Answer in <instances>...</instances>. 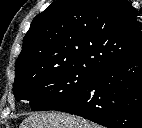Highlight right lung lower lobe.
Returning a JSON list of instances; mask_svg holds the SVG:
<instances>
[{"label":"right lung lower lobe","instance_id":"1","mask_svg":"<svg viewBox=\"0 0 142 128\" xmlns=\"http://www.w3.org/2000/svg\"><path fill=\"white\" fill-rule=\"evenodd\" d=\"M56 111L108 128H142V53L95 73L83 92Z\"/></svg>","mask_w":142,"mask_h":128}]
</instances>
